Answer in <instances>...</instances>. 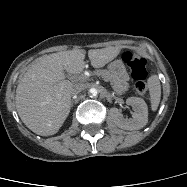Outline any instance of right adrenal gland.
Returning <instances> with one entry per match:
<instances>
[{
	"mask_svg": "<svg viewBox=\"0 0 187 187\" xmlns=\"http://www.w3.org/2000/svg\"><path fill=\"white\" fill-rule=\"evenodd\" d=\"M73 103H74V102L72 101V102H71V107H73Z\"/></svg>",
	"mask_w": 187,
	"mask_h": 187,
	"instance_id": "obj_1",
	"label": "right adrenal gland"
}]
</instances>
